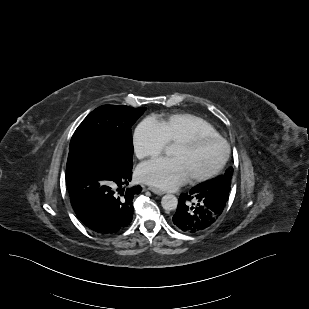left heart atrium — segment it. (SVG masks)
I'll return each mask as SVG.
<instances>
[{
	"instance_id": "obj_1",
	"label": "left heart atrium",
	"mask_w": 309,
	"mask_h": 309,
	"mask_svg": "<svg viewBox=\"0 0 309 309\" xmlns=\"http://www.w3.org/2000/svg\"><path fill=\"white\" fill-rule=\"evenodd\" d=\"M136 176L143 183L168 190L189 179L184 165L175 157L159 158L143 163L137 168Z\"/></svg>"
}]
</instances>
